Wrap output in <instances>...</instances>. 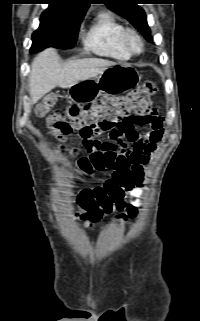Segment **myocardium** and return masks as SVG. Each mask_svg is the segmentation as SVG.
<instances>
[{"label":"myocardium","mask_w":200,"mask_h":321,"mask_svg":"<svg viewBox=\"0 0 200 321\" xmlns=\"http://www.w3.org/2000/svg\"><path fill=\"white\" fill-rule=\"evenodd\" d=\"M131 36L135 37L139 43V47L136 50L131 48L129 45V38ZM120 43H121L123 49L131 56L140 54L144 48V41H143L141 34L133 28H125L123 30V32L121 33V36H120Z\"/></svg>","instance_id":"f54148a6"}]
</instances>
